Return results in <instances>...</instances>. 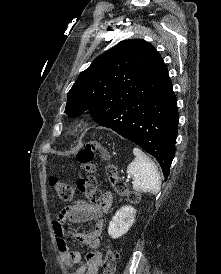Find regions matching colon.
Here are the masks:
<instances>
[{"mask_svg": "<svg viewBox=\"0 0 221 274\" xmlns=\"http://www.w3.org/2000/svg\"><path fill=\"white\" fill-rule=\"evenodd\" d=\"M96 150L102 151L104 160H107L109 158V153L104 148H102L98 142L88 143L77 154L78 162L80 163L82 169L87 173H92L94 171L93 158L94 152ZM105 172L111 182L113 189L118 195L126 197L129 201L133 203H136L138 201L137 193L128 189L125 181L121 177H119L117 169L114 165L109 163L106 164ZM50 183L63 200H70L73 197V186L58 180V178L56 177L52 178ZM75 188L84 193L85 196L92 202H98L102 198V195L97 187V182L92 175H87L80 178L76 182ZM116 266V255L114 251L110 247H108L103 262V274H115Z\"/></svg>", "mask_w": 221, "mask_h": 274, "instance_id": "1", "label": "colon"}]
</instances>
